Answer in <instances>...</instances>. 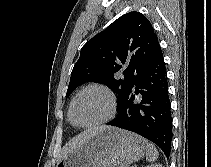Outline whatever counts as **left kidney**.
I'll return each mask as SVG.
<instances>
[{
    "mask_svg": "<svg viewBox=\"0 0 211 167\" xmlns=\"http://www.w3.org/2000/svg\"><path fill=\"white\" fill-rule=\"evenodd\" d=\"M147 167H163L162 165H153V166H147Z\"/></svg>",
    "mask_w": 211,
    "mask_h": 167,
    "instance_id": "1",
    "label": "left kidney"
}]
</instances>
